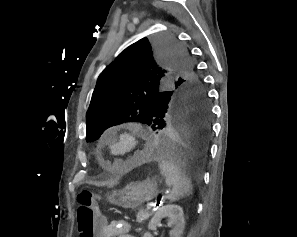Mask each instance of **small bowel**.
<instances>
[{
  "label": "small bowel",
  "mask_w": 297,
  "mask_h": 237,
  "mask_svg": "<svg viewBox=\"0 0 297 237\" xmlns=\"http://www.w3.org/2000/svg\"><path fill=\"white\" fill-rule=\"evenodd\" d=\"M97 237H135L130 234V225L123 219L104 223Z\"/></svg>",
  "instance_id": "obj_1"
}]
</instances>
